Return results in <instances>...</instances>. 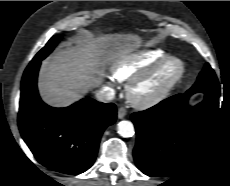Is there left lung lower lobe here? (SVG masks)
<instances>
[{"mask_svg":"<svg viewBox=\"0 0 230 186\" xmlns=\"http://www.w3.org/2000/svg\"><path fill=\"white\" fill-rule=\"evenodd\" d=\"M204 93V100L194 107L188 99ZM219 87L188 90L159 104L132 114L137 133L134 160L144 174L174 175L203 146L218 116Z\"/></svg>","mask_w":230,"mask_h":186,"instance_id":"0a47b994","label":"left lung lower lobe"}]
</instances>
